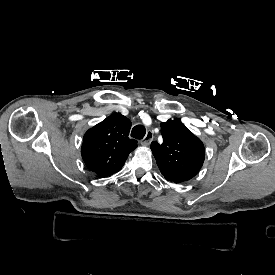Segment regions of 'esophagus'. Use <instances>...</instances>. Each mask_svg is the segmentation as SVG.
<instances>
[{"instance_id":"esophagus-1","label":"esophagus","mask_w":275,"mask_h":275,"mask_svg":"<svg viewBox=\"0 0 275 275\" xmlns=\"http://www.w3.org/2000/svg\"><path fill=\"white\" fill-rule=\"evenodd\" d=\"M153 135H154L153 132L151 130H149L146 133L145 137L142 139L141 145L142 146H148L153 140V137H154Z\"/></svg>"}]
</instances>
